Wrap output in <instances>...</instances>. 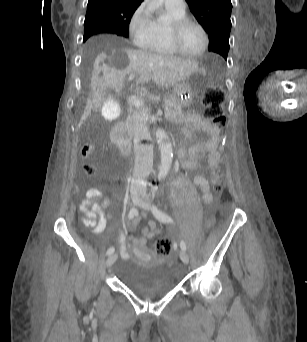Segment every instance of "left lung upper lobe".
<instances>
[{"label":"left lung upper lobe","mask_w":307,"mask_h":342,"mask_svg":"<svg viewBox=\"0 0 307 342\" xmlns=\"http://www.w3.org/2000/svg\"><path fill=\"white\" fill-rule=\"evenodd\" d=\"M191 12L209 35V51L227 59L231 30V0H186Z\"/></svg>","instance_id":"obj_1"}]
</instances>
